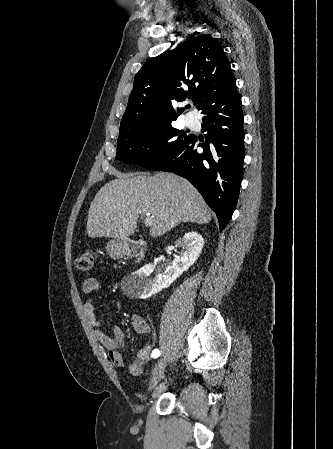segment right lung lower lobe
Returning <instances> with one entry per match:
<instances>
[{"instance_id": "right-lung-lower-lobe-1", "label": "right lung lower lobe", "mask_w": 333, "mask_h": 449, "mask_svg": "<svg viewBox=\"0 0 333 449\" xmlns=\"http://www.w3.org/2000/svg\"><path fill=\"white\" fill-rule=\"evenodd\" d=\"M206 141L194 135L154 170L173 172L189 180L217 214L222 231L230 220L243 176L244 131L239 93L221 98L203 112ZM197 147L203 152H197Z\"/></svg>"}]
</instances>
